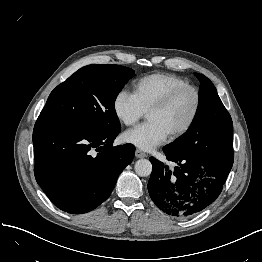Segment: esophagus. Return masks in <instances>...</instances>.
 I'll return each instance as SVG.
<instances>
[{
	"mask_svg": "<svg viewBox=\"0 0 262 262\" xmlns=\"http://www.w3.org/2000/svg\"><path fill=\"white\" fill-rule=\"evenodd\" d=\"M135 156H136L137 158H144V157H147V154L144 153L143 151L137 149V150L135 151Z\"/></svg>",
	"mask_w": 262,
	"mask_h": 262,
	"instance_id": "1",
	"label": "esophagus"
}]
</instances>
